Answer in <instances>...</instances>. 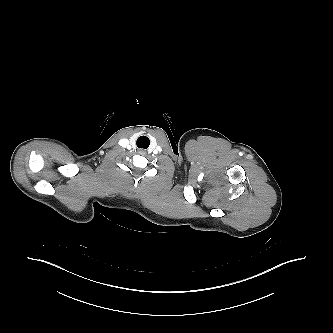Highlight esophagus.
<instances>
[{
    "mask_svg": "<svg viewBox=\"0 0 333 333\" xmlns=\"http://www.w3.org/2000/svg\"><path fill=\"white\" fill-rule=\"evenodd\" d=\"M140 153H141V154H143V153H144V151H143V150H140Z\"/></svg>",
    "mask_w": 333,
    "mask_h": 333,
    "instance_id": "obj_1",
    "label": "esophagus"
}]
</instances>
